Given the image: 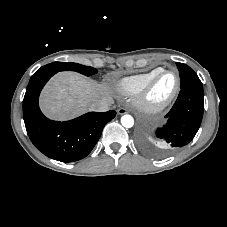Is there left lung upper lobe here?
<instances>
[{
	"label": "left lung upper lobe",
	"mask_w": 227,
	"mask_h": 227,
	"mask_svg": "<svg viewBox=\"0 0 227 227\" xmlns=\"http://www.w3.org/2000/svg\"><path fill=\"white\" fill-rule=\"evenodd\" d=\"M181 79V88L190 86L199 90H203L202 83L197 74L186 64L176 63Z\"/></svg>",
	"instance_id": "obj_1"
}]
</instances>
